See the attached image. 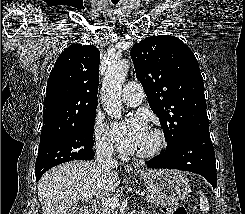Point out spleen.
Masks as SVG:
<instances>
[{
	"label": "spleen",
	"instance_id": "spleen-1",
	"mask_svg": "<svg viewBox=\"0 0 245 214\" xmlns=\"http://www.w3.org/2000/svg\"><path fill=\"white\" fill-rule=\"evenodd\" d=\"M200 210L203 212V213H206L209 211V202H208V199L207 197L204 195V193H202L200 191Z\"/></svg>",
	"mask_w": 245,
	"mask_h": 214
}]
</instances>
